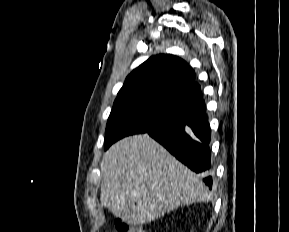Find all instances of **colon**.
Wrapping results in <instances>:
<instances>
[{
    "instance_id": "5ec220e1",
    "label": "colon",
    "mask_w": 289,
    "mask_h": 232,
    "mask_svg": "<svg viewBox=\"0 0 289 232\" xmlns=\"http://www.w3.org/2000/svg\"><path fill=\"white\" fill-rule=\"evenodd\" d=\"M117 232H146L141 227L129 225L126 221L117 218L115 220Z\"/></svg>"
}]
</instances>
